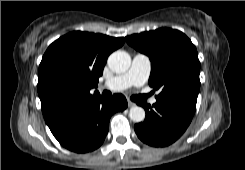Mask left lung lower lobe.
<instances>
[{"label":"left lung lower lobe","mask_w":245,"mask_h":170,"mask_svg":"<svg viewBox=\"0 0 245 170\" xmlns=\"http://www.w3.org/2000/svg\"><path fill=\"white\" fill-rule=\"evenodd\" d=\"M146 111L144 122L135 124L137 136L146 144L164 147L175 142L189 126L195 108L169 101H156L151 107L141 103Z\"/></svg>","instance_id":"obj_1"}]
</instances>
